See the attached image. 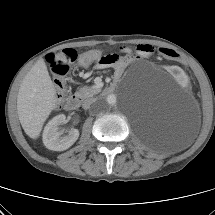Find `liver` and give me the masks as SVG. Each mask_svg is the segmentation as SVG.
I'll return each instance as SVG.
<instances>
[{
	"label": "liver",
	"mask_w": 215,
	"mask_h": 215,
	"mask_svg": "<svg viewBox=\"0 0 215 215\" xmlns=\"http://www.w3.org/2000/svg\"><path fill=\"white\" fill-rule=\"evenodd\" d=\"M56 91L43 59L25 75L17 95V113L25 133L39 137L43 124L56 107Z\"/></svg>",
	"instance_id": "obj_1"
}]
</instances>
